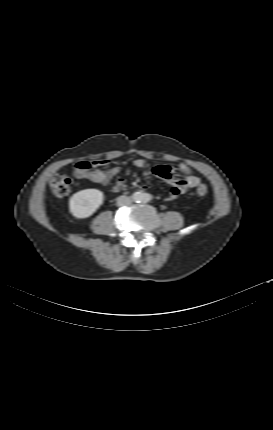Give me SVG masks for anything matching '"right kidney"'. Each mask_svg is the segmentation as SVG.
Returning <instances> with one entry per match:
<instances>
[{
	"label": "right kidney",
	"instance_id": "1",
	"mask_svg": "<svg viewBox=\"0 0 273 430\" xmlns=\"http://www.w3.org/2000/svg\"><path fill=\"white\" fill-rule=\"evenodd\" d=\"M103 192L98 189H84L73 194L69 200L71 214L79 219L90 217L102 205Z\"/></svg>",
	"mask_w": 273,
	"mask_h": 430
}]
</instances>
